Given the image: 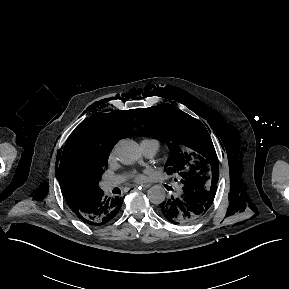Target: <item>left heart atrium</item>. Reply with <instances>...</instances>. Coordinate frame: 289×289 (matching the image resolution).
Here are the masks:
<instances>
[{
    "label": "left heart atrium",
    "instance_id": "1",
    "mask_svg": "<svg viewBox=\"0 0 289 289\" xmlns=\"http://www.w3.org/2000/svg\"><path fill=\"white\" fill-rule=\"evenodd\" d=\"M147 173H148V172H144V173H139V174H137V175L135 176V180L138 181V182H143V181H145V180L148 178Z\"/></svg>",
    "mask_w": 289,
    "mask_h": 289
}]
</instances>
